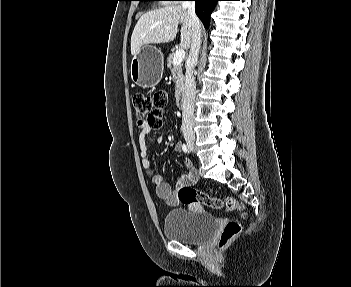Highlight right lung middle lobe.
I'll return each mask as SVG.
<instances>
[{
    "label": "right lung middle lobe",
    "mask_w": 351,
    "mask_h": 287,
    "mask_svg": "<svg viewBox=\"0 0 351 287\" xmlns=\"http://www.w3.org/2000/svg\"><path fill=\"white\" fill-rule=\"evenodd\" d=\"M139 1H158V0H139Z\"/></svg>",
    "instance_id": "1"
}]
</instances>
